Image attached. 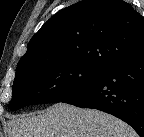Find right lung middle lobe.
Instances as JSON below:
<instances>
[{
    "instance_id": "right-lung-middle-lobe-1",
    "label": "right lung middle lobe",
    "mask_w": 144,
    "mask_h": 137,
    "mask_svg": "<svg viewBox=\"0 0 144 137\" xmlns=\"http://www.w3.org/2000/svg\"><path fill=\"white\" fill-rule=\"evenodd\" d=\"M107 70L86 62L62 60L17 67L8 107L62 101L101 77Z\"/></svg>"
}]
</instances>
